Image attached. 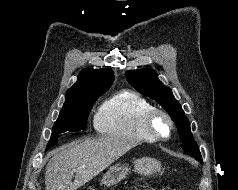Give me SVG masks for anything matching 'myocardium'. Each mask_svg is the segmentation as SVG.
<instances>
[{
    "label": "myocardium",
    "mask_w": 238,
    "mask_h": 190,
    "mask_svg": "<svg viewBox=\"0 0 238 190\" xmlns=\"http://www.w3.org/2000/svg\"><path fill=\"white\" fill-rule=\"evenodd\" d=\"M158 120H163L166 124L164 131L160 130L157 126ZM143 124L146 131L155 139L164 140L167 139L173 129V121L169 114L161 109L152 108L149 110L144 118Z\"/></svg>",
    "instance_id": "myocardium-1"
}]
</instances>
